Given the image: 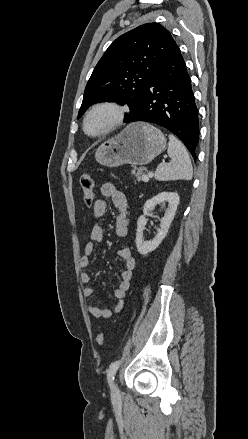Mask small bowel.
<instances>
[{"label":"small bowel","instance_id":"c3829d8e","mask_svg":"<svg viewBox=\"0 0 248 439\" xmlns=\"http://www.w3.org/2000/svg\"><path fill=\"white\" fill-rule=\"evenodd\" d=\"M101 194L105 198L111 199L114 207L117 210L116 216V236L118 238H125L128 235V219H127V198L125 194L116 188L112 183H104L101 186ZM107 211V203L103 199H97L93 205V214L96 219H100ZM104 237V228L101 224L95 223L90 232V239L84 247V255L80 258V267L87 268L90 265V256L95 252L96 244L100 243ZM118 257L124 262V269L120 273V282L114 291V296L117 299L116 304L110 309H101L95 305H89L88 311L98 319H108L113 314L122 311L124 307V298L130 287V282L133 275V270L136 266V261L132 256L131 250L127 247H122L117 251ZM80 281L83 284H89L91 277L88 273L82 272L80 274ZM83 296L91 297L94 290L87 285L83 288Z\"/></svg>","mask_w":248,"mask_h":439}]
</instances>
